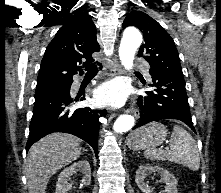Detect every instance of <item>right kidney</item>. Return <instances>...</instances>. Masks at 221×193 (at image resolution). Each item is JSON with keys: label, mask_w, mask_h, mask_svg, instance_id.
<instances>
[{"label": "right kidney", "mask_w": 221, "mask_h": 193, "mask_svg": "<svg viewBox=\"0 0 221 193\" xmlns=\"http://www.w3.org/2000/svg\"><path fill=\"white\" fill-rule=\"evenodd\" d=\"M78 171L83 173L82 184L80 185V188L89 185L91 182L90 164L86 160H80L65 168L60 173L56 184L55 193H66L68 190H70L72 186L69 184L68 178Z\"/></svg>", "instance_id": "obj_1"}]
</instances>
